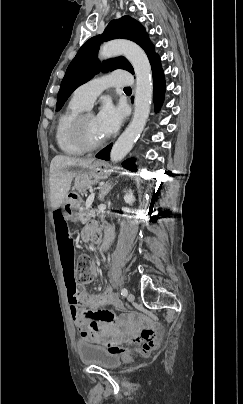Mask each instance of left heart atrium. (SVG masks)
Masks as SVG:
<instances>
[{"instance_id":"obj_1","label":"left heart atrium","mask_w":243,"mask_h":404,"mask_svg":"<svg viewBox=\"0 0 243 404\" xmlns=\"http://www.w3.org/2000/svg\"><path fill=\"white\" fill-rule=\"evenodd\" d=\"M121 121L120 111L114 107L111 101L106 100L98 114L95 116V124L101 139H107L118 129Z\"/></svg>"}]
</instances>
